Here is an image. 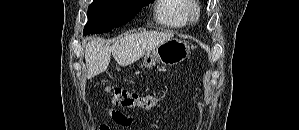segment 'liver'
<instances>
[{
    "mask_svg": "<svg viewBox=\"0 0 299 130\" xmlns=\"http://www.w3.org/2000/svg\"><path fill=\"white\" fill-rule=\"evenodd\" d=\"M172 37L173 33L145 31L126 35L112 46L104 44L101 39L91 37L85 50L87 77L92 78L104 72L108 68L111 53L120 66H128Z\"/></svg>",
    "mask_w": 299,
    "mask_h": 130,
    "instance_id": "liver-1",
    "label": "liver"
}]
</instances>
